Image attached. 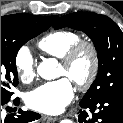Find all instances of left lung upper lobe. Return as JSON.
<instances>
[{"label":"left lung upper lobe","mask_w":123,"mask_h":123,"mask_svg":"<svg viewBox=\"0 0 123 123\" xmlns=\"http://www.w3.org/2000/svg\"><path fill=\"white\" fill-rule=\"evenodd\" d=\"M65 26L86 33L97 50L98 74L83 100L123 94V33L118 25L104 15L76 12L54 24L55 29Z\"/></svg>","instance_id":"left-lung-upper-lobe-1"}]
</instances>
